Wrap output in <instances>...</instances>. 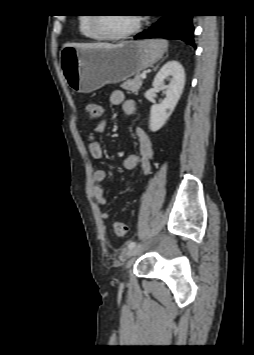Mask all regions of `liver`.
Returning <instances> with one entry per match:
<instances>
[{"label": "liver", "instance_id": "1", "mask_svg": "<svg viewBox=\"0 0 254 355\" xmlns=\"http://www.w3.org/2000/svg\"><path fill=\"white\" fill-rule=\"evenodd\" d=\"M121 45V44H119ZM119 45H112L109 43H72V44H65V46H73L76 48H83V49H88V48H113L117 47Z\"/></svg>", "mask_w": 254, "mask_h": 355}]
</instances>
